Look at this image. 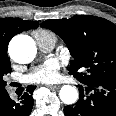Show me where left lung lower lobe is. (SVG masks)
I'll use <instances>...</instances> for the list:
<instances>
[{
    "label": "left lung lower lobe",
    "instance_id": "1",
    "mask_svg": "<svg viewBox=\"0 0 116 116\" xmlns=\"http://www.w3.org/2000/svg\"><path fill=\"white\" fill-rule=\"evenodd\" d=\"M81 83L86 95L80 85L79 100L64 107L65 116H116V78Z\"/></svg>",
    "mask_w": 116,
    "mask_h": 116
}]
</instances>
